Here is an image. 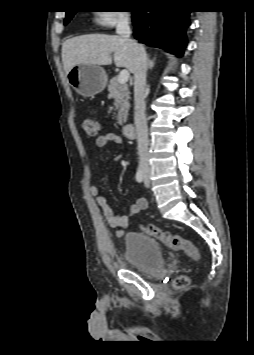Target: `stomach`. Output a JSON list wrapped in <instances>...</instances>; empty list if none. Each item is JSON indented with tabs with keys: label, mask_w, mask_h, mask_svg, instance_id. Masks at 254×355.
<instances>
[{
	"label": "stomach",
	"mask_w": 254,
	"mask_h": 355,
	"mask_svg": "<svg viewBox=\"0 0 254 355\" xmlns=\"http://www.w3.org/2000/svg\"><path fill=\"white\" fill-rule=\"evenodd\" d=\"M70 86L80 95L91 97L102 92L107 83V75L100 65L79 64L67 74Z\"/></svg>",
	"instance_id": "1"
}]
</instances>
